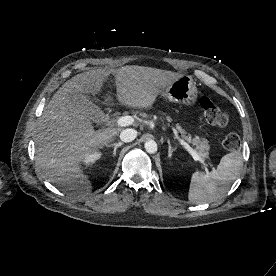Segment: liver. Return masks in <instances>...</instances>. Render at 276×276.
Listing matches in <instances>:
<instances>
[{
    "instance_id": "obj_1",
    "label": "liver",
    "mask_w": 276,
    "mask_h": 276,
    "mask_svg": "<svg viewBox=\"0 0 276 276\" xmlns=\"http://www.w3.org/2000/svg\"><path fill=\"white\" fill-rule=\"evenodd\" d=\"M115 76L117 99L131 108H151L157 96L182 74L144 66L91 70L66 81L53 95L37 124L36 162L49 182L77 194H87L91 183L81 163L118 134L112 128L95 131L90 118L71 101L70 94H98Z\"/></svg>"
}]
</instances>
